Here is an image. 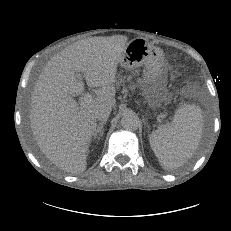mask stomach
<instances>
[{
    "instance_id": "obj_1",
    "label": "stomach",
    "mask_w": 231,
    "mask_h": 231,
    "mask_svg": "<svg viewBox=\"0 0 231 231\" xmlns=\"http://www.w3.org/2000/svg\"><path fill=\"white\" fill-rule=\"evenodd\" d=\"M119 64L126 69L144 66L140 80L142 95L150 107H159L164 100L167 83L163 50L145 38H134L125 44Z\"/></svg>"
}]
</instances>
